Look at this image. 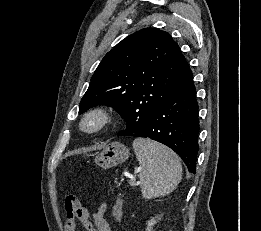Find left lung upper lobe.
Wrapping results in <instances>:
<instances>
[{
  "label": "left lung upper lobe",
  "mask_w": 261,
  "mask_h": 231,
  "mask_svg": "<svg viewBox=\"0 0 261 231\" xmlns=\"http://www.w3.org/2000/svg\"><path fill=\"white\" fill-rule=\"evenodd\" d=\"M192 76L178 44L167 32L141 29L105 55L81 100L79 114L103 104L112 106L126 127L142 126Z\"/></svg>",
  "instance_id": "left-lung-upper-lobe-1"
}]
</instances>
